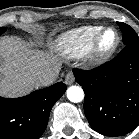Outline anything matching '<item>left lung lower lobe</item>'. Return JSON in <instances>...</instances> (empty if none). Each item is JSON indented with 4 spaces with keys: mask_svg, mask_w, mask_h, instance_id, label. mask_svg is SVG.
<instances>
[{
    "mask_svg": "<svg viewBox=\"0 0 139 139\" xmlns=\"http://www.w3.org/2000/svg\"><path fill=\"white\" fill-rule=\"evenodd\" d=\"M73 73L83 86L85 115L95 131L122 136L139 125V42L127 44L100 67Z\"/></svg>",
    "mask_w": 139,
    "mask_h": 139,
    "instance_id": "left-lung-lower-lobe-1",
    "label": "left lung lower lobe"
}]
</instances>
